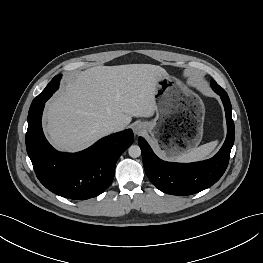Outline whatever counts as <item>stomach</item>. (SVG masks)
Segmentation results:
<instances>
[{
	"mask_svg": "<svg viewBox=\"0 0 263 263\" xmlns=\"http://www.w3.org/2000/svg\"><path fill=\"white\" fill-rule=\"evenodd\" d=\"M157 116L145 123L158 154L167 159L196 148L203 136L205 107L201 98L167 72L158 77Z\"/></svg>",
	"mask_w": 263,
	"mask_h": 263,
	"instance_id": "0dacf381",
	"label": "stomach"
}]
</instances>
